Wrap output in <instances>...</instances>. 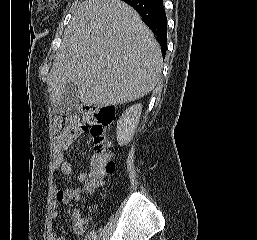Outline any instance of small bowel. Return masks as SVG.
I'll use <instances>...</instances> for the list:
<instances>
[{
  "instance_id": "obj_1",
  "label": "small bowel",
  "mask_w": 257,
  "mask_h": 240,
  "mask_svg": "<svg viewBox=\"0 0 257 240\" xmlns=\"http://www.w3.org/2000/svg\"><path fill=\"white\" fill-rule=\"evenodd\" d=\"M86 131V127L81 124L69 122L66 126L58 131L55 139V169L56 172L68 176L73 172V166L65 159V151L67 147ZM87 172H80L77 176L78 181L84 184L87 180ZM82 186L78 188L59 189L55 193V201L50 209V220L54 222L58 216L59 204H69L80 195ZM80 218L75 215V220ZM76 231H80L75 228ZM47 240H65L63 236L56 235L51 229L49 230Z\"/></svg>"
}]
</instances>
